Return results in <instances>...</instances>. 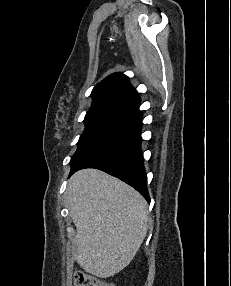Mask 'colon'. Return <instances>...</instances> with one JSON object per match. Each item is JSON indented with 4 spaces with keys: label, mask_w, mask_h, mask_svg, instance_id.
I'll use <instances>...</instances> for the list:
<instances>
[{
    "label": "colon",
    "mask_w": 231,
    "mask_h": 286,
    "mask_svg": "<svg viewBox=\"0 0 231 286\" xmlns=\"http://www.w3.org/2000/svg\"><path fill=\"white\" fill-rule=\"evenodd\" d=\"M74 286H115V285L112 283L99 280L84 272H77L74 276Z\"/></svg>",
    "instance_id": "1"
}]
</instances>
